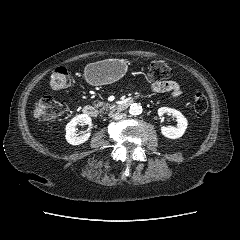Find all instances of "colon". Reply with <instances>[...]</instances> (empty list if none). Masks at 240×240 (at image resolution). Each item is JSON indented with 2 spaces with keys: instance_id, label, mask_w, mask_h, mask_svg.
<instances>
[{
  "instance_id": "colon-1",
  "label": "colon",
  "mask_w": 240,
  "mask_h": 240,
  "mask_svg": "<svg viewBox=\"0 0 240 240\" xmlns=\"http://www.w3.org/2000/svg\"><path fill=\"white\" fill-rule=\"evenodd\" d=\"M171 75L169 66L163 61H155L149 67V77L154 81H161ZM70 85V77L65 67L56 68L50 78V86L54 90L65 89ZM194 111L198 116L203 115L208 109V101L201 90L192 93ZM66 111V104L50 96L40 99L34 108V114L39 118L54 119Z\"/></svg>"
}]
</instances>
